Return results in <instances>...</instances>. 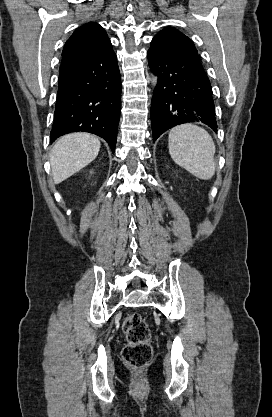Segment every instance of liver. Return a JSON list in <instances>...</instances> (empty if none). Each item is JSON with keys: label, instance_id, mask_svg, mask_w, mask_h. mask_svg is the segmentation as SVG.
I'll use <instances>...</instances> for the list:
<instances>
[{"label": "liver", "instance_id": "obj_1", "mask_svg": "<svg viewBox=\"0 0 272 417\" xmlns=\"http://www.w3.org/2000/svg\"><path fill=\"white\" fill-rule=\"evenodd\" d=\"M100 141L88 133H72L55 142L50 152V164L55 184L74 175L98 155Z\"/></svg>", "mask_w": 272, "mask_h": 417}]
</instances>
